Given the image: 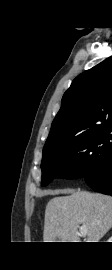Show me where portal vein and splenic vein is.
Returning <instances> with one entry per match:
<instances>
[{"instance_id": "portal-vein-and-splenic-vein-1", "label": "portal vein and splenic vein", "mask_w": 112, "mask_h": 270, "mask_svg": "<svg viewBox=\"0 0 112 270\" xmlns=\"http://www.w3.org/2000/svg\"><path fill=\"white\" fill-rule=\"evenodd\" d=\"M79 231H80L81 234L87 233V227H86V225H82V226L79 228Z\"/></svg>"}]
</instances>
